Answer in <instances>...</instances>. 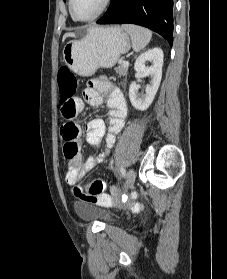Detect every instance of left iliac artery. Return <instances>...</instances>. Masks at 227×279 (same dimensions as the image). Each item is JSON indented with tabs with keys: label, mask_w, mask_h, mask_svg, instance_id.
<instances>
[{
	"label": "left iliac artery",
	"mask_w": 227,
	"mask_h": 279,
	"mask_svg": "<svg viewBox=\"0 0 227 279\" xmlns=\"http://www.w3.org/2000/svg\"><path fill=\"white\" fill-rule=\"evenodd\" d=\"M120 172H121L122 176L125 177L126 171L123 167L120 168Z\"/></svg>",
	"instance_id": "obj_1"
}]
</instances>
